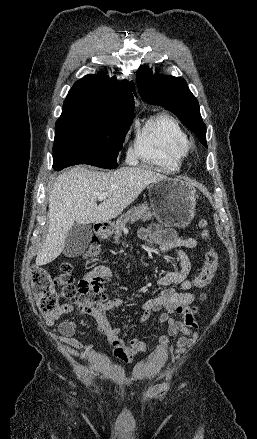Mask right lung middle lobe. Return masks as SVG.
Wrapping results in <instances>:
<instances>
[{"mask_svg": "<svg viewBox=\"0 0 257 439\" xmlns=\"http://www.w3.org/2000/svg\"><path fill=\"white\" fill-rule=\"evenodd\" d=\"M134 114L105 117L79 113L60 116L55 125L53 168L75 164L118 167L117 156Z\"/></svg>", "mask_w": 257, "mask_h": 439, "instance_id": "obj_1", "label": "right lung middle lobe"}]
</instances>
